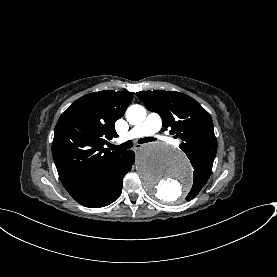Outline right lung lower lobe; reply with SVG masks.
<instances>
[{
    "label": "right lung lower lobe",
    "mask_w": 277,
    "mask_h": 277,
    "mask_svg": "<svg viewBox=\"0 0 277 277\" xmlns=\"http://www.w3.org/2000/svg\"><path fill=\"white\" fill-rule=\"evenodd\" d=\"M134 153L124 151L94 173L82 179L69 194L80 204L89 208L107 206L117 200L122 192L123 177L131 170Z\"/></svg>",
    "instance_id": "right-lung-lower-lobe-1"
}]
</instances>
